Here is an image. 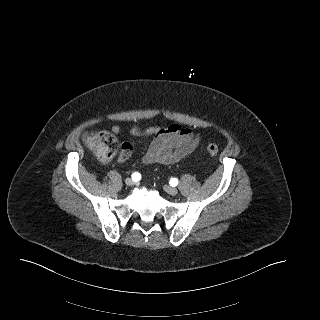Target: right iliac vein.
<instances>
[{
	"mask_svg": "<svg viewBox=\"0 0 320 320\" xmlns=\"http://www.w3.org/2000/svg\"><path fill=\"white\" fill-rule=\"evenodd\" d=\"M125 183H126V185H128V186H133L134 181H133L131 178H126Z\"/></svg>",
	"mask_w": 320,
	"mask_h": 320,
	"instance_id": "obj_1",
	"label": "right iliac vein"
}]
</instances>
